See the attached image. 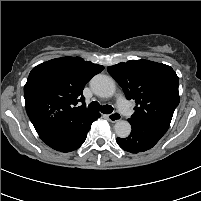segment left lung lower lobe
Masks as SVG:
<instances>
[{
    "mask_svg": "<svg viewBox=\"0 0 201 201\" xmlns=\"http://www.w3.org/2000/svg\"><path fill=\"white\" fill-rule=\"evenodd\" d=\"M132 131L127 138H117V144L125 151L131 153L144 152L152 148L167 130L131 124Z\"/></svg>",
    "mask_w": 201,
    "mask_h": 201,
    "instance_id": "left-lung-lower-lobe-1",
    "label": "left lung lower lobe"
}]
</instances>
